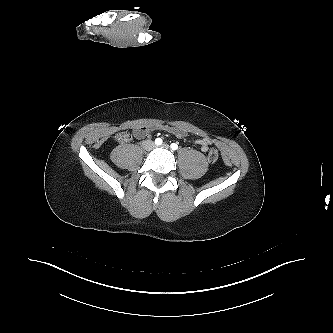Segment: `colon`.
I'll use <instances>...</instances> for the list:
<instances>
[{"instance_id":"colon-1","label":"colon","mask_w":333,"mask_h":333,"mask_svg":"<svg viewBox=\"0 0 333 333\" xmlns=\"http://www.w3.org/2000/svg\"><path fill=\"white\" fill-rule=\"evenodd\" d=\"M115 139L119 142V143H125L128 142L131 139V135L128 132H119L115 135ZM219 158V153L216 149H211L208 152V160L210 162H215L217 161Z\"/></svg>"}]
</instances>
